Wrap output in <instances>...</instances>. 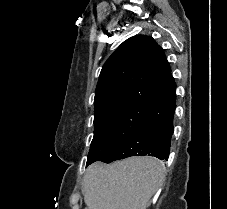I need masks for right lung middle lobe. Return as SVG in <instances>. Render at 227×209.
<instances>
[{
  "mask_svg": "<svg viewBox=\"0 0 227 209\" xmlns=\"http://www.w3.org/2000/svg\"><path fill=\"white\" fill-rule=\"evenodd\" d=\"M149 110V105L129 98L106 101L104 109L94 116V137L86 166L101 161L126 140L142 125Z\"/></svg>",
  "mask_w": 227,
  "mask_h": 209,
  "instance_id": "right-lung-middle-lobe-1",
  "label": "right lung middle lobe"
}]
</instances>
